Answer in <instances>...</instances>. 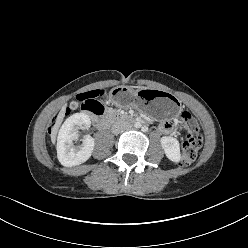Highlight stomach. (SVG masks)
<instances>
[{
    "instance_id": "0dacf381",
    "label": "stomach",
    "mask_w": 248,
    "mask_h": 248,
    "mask_svg": "<svg viewBox=\"0 0 248 248\" xmlns=\"http://www.w3.org/2000/svg\"><path fill=\"white\" fill-rule=\"evenodd\" d=\"M113 97L120 107H130L137 103L140 110L156 120L175 117L181 108L175 96L161 90L134 91L128 86H119L114 88Z\"/></svg>"
}]
</instances>
